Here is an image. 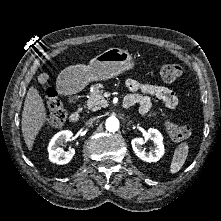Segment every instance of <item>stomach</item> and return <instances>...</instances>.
I'll list each match as a JSON object with an SVG mask.
<instances>
[{"instance_id":"0dacf381","label":"stomach","mask_w":221,"mask_h":221,"mask_svg":"<svg viewBox=\"0 0 221 221\" xmlns=\"http://www.w3.org/2000/svg\"><path fill=\"white\" fill-rule=\"evenodd\" d=\"M134 67L132 55L121 48H110L90 60L88 65L67 67L58 78L69 93L82 90L92 81L108 80Z\"/></svg>"}]
</instances>
